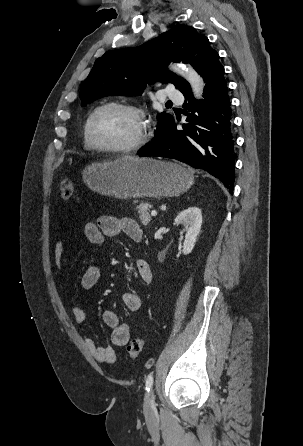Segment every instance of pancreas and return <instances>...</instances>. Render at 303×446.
Segmentation results:
<instances>
[{
  "label": "pancreas",
  "mask_w": 303,
  "mask_h": 446,
  "mask_svg": "<svg viewBox=\"0 0 303 446\" xmlns=\"http://www.w3.org/2000/svg\"><path fill=\"white\" fill-rule=\"evenodd\" d=\"M138 201H134V203H137ZM150 204L147 202H142L141 204L136 206V210L139 214V218L141 223L146 226L149 224V222L152 220L150 214H149V208Z\"/></svg>",
  "instance_id": "pancreas-1"
}]
</instances>
